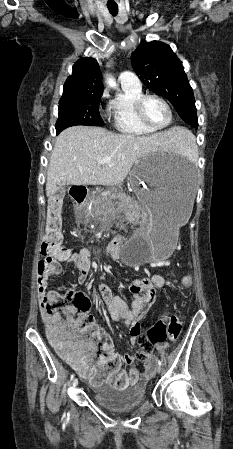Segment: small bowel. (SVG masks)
Masks as SVG:
<instances>
[{
  "mask_svg": "<svg viewBox=\"0 0 233 449\" xmlns=\"http://www.w3.org/2000/svg\"><path fill=\"white\" fill-rule=\"evenodd\" d=\"M108 253L113 258L117 256V251L111 247ZM69 263L74 264L78 270V283H85L91 268L90 251L87 248L81 249L78 253L69 252L67 256L58 258L47 264L44 269L38 270L37 285L39 294L43 300L47 298L46 291L50 276L59 273L61 266ZM165 283L164 277L160 274H150L147 278L134 280L130 287L134 293V298L130 304L125 297L114 295L107 285L102 284L99 286L100 294L107 305L111 318L114 321L123 322L129 327V339L132 345L137 344V339L141 331L139 321L146 315L154 302L156 290L162 288ZM70 348L71 356L76 361L72 366L83 378L88 379L95 386L103 384L104 381L113 382L116 379H120L124 385L143 382L151 376L156 364L155 356L151 353L148 354L144 362L143 374L140 378H137L135 376H129L122 369L123 359L114 351L113 344L110 340L101 345L103 354L97 363L94 362L96 348L81 352L77 350L74 343ZM158 348L162 349L163 347L159 346ZM105 373L107 376L104 379L103 374Z\"/></svg>",
  "mask_w": 233,
  "mask_h": 449,
  "instance_id": "1",
  "label": "small bowel"
}]
</instances>
